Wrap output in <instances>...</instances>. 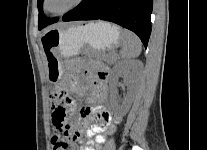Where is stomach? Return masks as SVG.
I'll return each mask as SVG.
<instances>
[{
  "label": "stomach",
  "mask_w": 207,
  "mask_h": 150,
  "mask_svg": "<svg viewBox=\"0 0 207 150\" xmlns=\"http://www.w3.org/2000/svg\"><path fill=\"white\" fill-rule=\"evenodd\" d=\"M120 40V29L105 21L62 24L45 31L40 41L50 81L59 85L64 77V60L77 56L83 48L100 55L111 52Z\"/></svg>",
  "instance_id": "0dacf381"
}]
</instances>
